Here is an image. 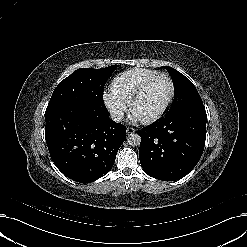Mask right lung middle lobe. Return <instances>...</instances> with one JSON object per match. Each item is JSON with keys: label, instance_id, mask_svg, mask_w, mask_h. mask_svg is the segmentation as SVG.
<instances>
[{"label": "right lung middle lobe", "instance_id": "obj_1", "mask_svg": "<svg viewBox=\"0 0 247 247\" xmlns=\"http://www.w3.org/2000/svg\"><path fill=\"white\" fill-rule=\"evenodd\" d=\"M116 67L77 69L58 84L47 108L63 103H103L105 83Z\"/></svg>", "mask_w": 247, "mask_h": 247}]
</instances>
